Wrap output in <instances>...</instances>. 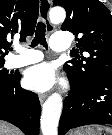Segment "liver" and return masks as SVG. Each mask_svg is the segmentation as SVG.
<instances>
[{
	"instance_id": "obj_1",
	"label": "liver",
	"mask_w": 112,
	"mask_h": 135,
	"mask_svg": "<svg viewBox=\"0 0 112 135\" xmlns=\"http://www.w3.org/2000/svg\"><path fill=\"white\" fill-rule=\"evenodd\" d=\"M0 135H22V132L15 126L0 121Z\"/></svg>"
}]
</instances>
